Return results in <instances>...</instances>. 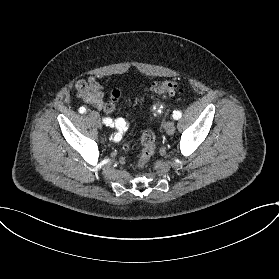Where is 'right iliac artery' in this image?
<instances>
[{"mask_svg": "<svg viewBox=\"0 0 279 279\" xmlns=\"http://www.w3.org/2000/svg\"><path fill=\"white\" fill-rule=\"evenodd\" d=\"M79 112L84 113V112H86V109L84 107H80ZM123 121H124L123 117H120L118 119V121L117 120L112 121V119H110V118L103 119V123H105L106 126L114 127V125H116V128L118 130H122V129L125 128V125L123 124Z\"/></svg>", "mask_w": 279, "mask_h": 279, "instance_id": "82829eb1", "label": "right iliac artery"}]
</instances>
